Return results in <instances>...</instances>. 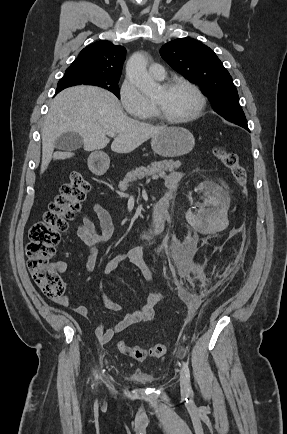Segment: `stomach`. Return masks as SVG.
Listing matches in <instances>:
<instances>
[{
  "label": "stomach",
  "mask_w": 287,
  "mask_h": 434,
  "mask_svg": "<svg viewBox=\"0 0 287 434\" xmlns=\"http://www.w3.org/2000/svg\"><path fill=\"white\" fill-rule=\"evenodd\" d=\"M195 145L194 136L182 127H169L160 134L152 137V150L163 157H178L192 151ZM89 161L98 162L101 166L109 165V157L104 152L95 151L90 155Z\"/></svg>",
  "instance_id": "0dacf381"
}]
</instances>
